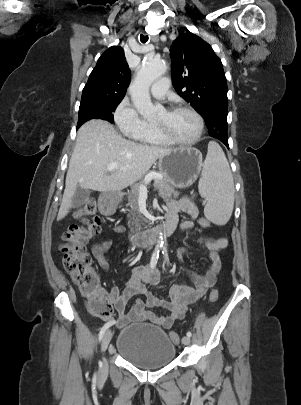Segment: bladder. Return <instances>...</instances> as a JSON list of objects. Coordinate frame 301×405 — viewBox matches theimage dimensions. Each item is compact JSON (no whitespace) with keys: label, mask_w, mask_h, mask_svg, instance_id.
Segmentation results:
<instances>
[{"label":"bladder","mask_w":301,"mask_h":405,"mask_svg":"<svg viewBox=\"0 0 301 405\" xmlns=\"http://www.w3.org/2000/svg\"><path fill=\"white\" fill-rule=\"evenodd\" d=\"M116 351L137 367L158 369L174 360L176 346L161 328L149 323H136L119 332Z\"/></svg>","instance_id":"obj_1"}]
</instances>
